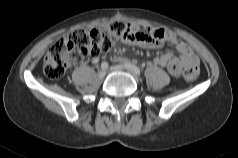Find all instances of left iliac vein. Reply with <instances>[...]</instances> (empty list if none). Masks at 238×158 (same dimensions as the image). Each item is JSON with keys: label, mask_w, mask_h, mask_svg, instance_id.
<instances>
[{"label": "left iliac vein", "mask_w": 238, "mask_h": 158, "mask_svg": "<svg viewBox=\"0 0 238 158\" xmlns=\"http://www.w3.org/2000/svg\"><path fill=\"white\" fill-rule=\"evenodd\" d=\"M124 70H126V68L121 65H116V66L110 67V71H124Z\"/></svg>", "instance_id": "4c4485c4"}]
</instances>
